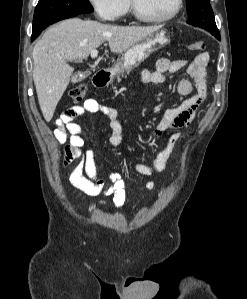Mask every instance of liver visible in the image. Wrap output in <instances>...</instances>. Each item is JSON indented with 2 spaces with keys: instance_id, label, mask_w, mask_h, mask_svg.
Masks as SVG:
<instances>
[{
  "instance_id": "obj_1",
  "label": "liver",
  "mask_w": 247,
  "mask_h": 299,
  "mask_svg": "<svg viewBox=\"0 0 247 299\" xmlns=\"http://www.w3.org/2000/svg\"><path fill=\"white\" fill-rule=\"evenodd\" d=\"M161 27L117 26L79 18L50 26L33 48V80L46 122L69 84L73 68L68 62L86 59L105 41L111 52L122 53Z\"/></svg>"
}]
</instances>
